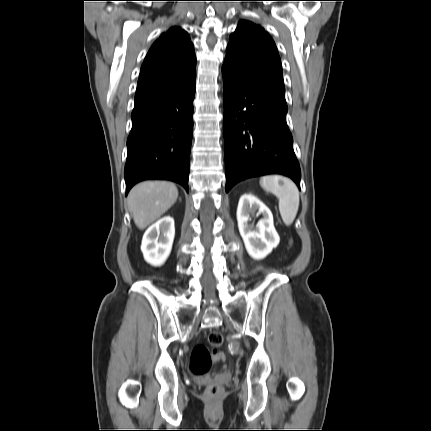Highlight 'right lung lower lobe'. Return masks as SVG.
I'll return each mask as SVG.
<instances>
[{"label": "right lung lower lobe", "mask_w": 431, "mask_h": 431, "mask_svg": "<svg viewBox=\"0 0 431 431\" xmlns=\"http://www.w3.org/2000/svg\"><path fill=\"white\" fill-rule=\"evenodd\" d=\"M195 79L162 100L134 108L127 139L126 195L147 179H164L188 191Z\"/></svg>", "instance_id": "right-lung-lower-lobe-1"}]
</instances>
